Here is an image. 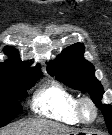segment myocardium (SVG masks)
<instances>
[{
  "label": "myocardium",
  "instance_id": "1",
  "mask_svg": "<svg viewBox=\"0 0 112 135\" xmlns=\"http://www.w3.org/2000/svg\"><path fill=\"white\" fill-rule=\"evenodd\" d=\"M90 108L93 112V115L91 118H88L85 115V109ZM76 113L81 121V123L84 124H91L96 121L99 115V110L96 105V103L90 98V97H81L77 99V104H76Z\"/></svg>",
  "mask_w": 112,
  "mask_h": 135
}]
</instances>
